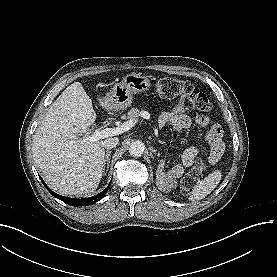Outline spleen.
<instances>
[{"label":"spleen","instance_id":"spleen-1","mask_svg":"<svg viewBox=\"0 0 277 277\" xmlns=\"http://www.w3.org/2000/svg\"><path fill=\"white\" fill-rule=\"evenodd\" d=\"M222 178L220 170H215L197 184L189 197L190 201H198L210 194L219 184Z\"/></svg>","mask_w":277,"mask_h":277}]
</instances>
